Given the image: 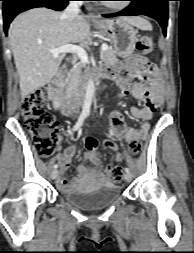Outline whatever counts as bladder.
Returning a JSON list of instances; mask_svg holds the SVG:
<instances>
[{
	"mask_svg": "<svg viewBox=\"0 0 194 253\" xmlns=\"http://www.w3.org/2000/svg\"><path fill=\"white\" fill-rule=\"evenodd\" d=\"M120 195L118 186L102 184L91 188L70 190L63 195V199L78 209L96 211L113 204Z\"/></svg>",
	"mask_w": 194,
	"mask_h": 253,
	"instance_id": "31cf9c89",
	"label": "bladder"
}]
</instances>
